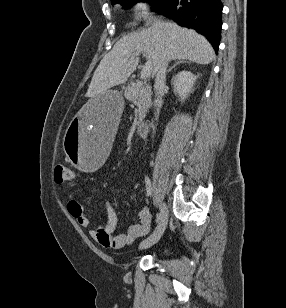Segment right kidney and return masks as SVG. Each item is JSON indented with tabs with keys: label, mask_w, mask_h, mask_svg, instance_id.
Listing matches in <instances>:
<instances>
[{
	"label": "right kidney",
	"mask_w": 286,
	"mask_h": 308,
	"mask_svg": "<svg viewBox=\"0 0 286 308\" xmlns=\"http://www.w3.org/2000/svg\"><path fill=\"white\" fill-rule=\"evenodd\" d=\"M196 79L197 76L193 75L190 71H181L173 77V91L175 95L178 94L181 102H183L193 91Z\"/></svg>",
	"instance_id": "right-kidney-1"
}]
</instances>
